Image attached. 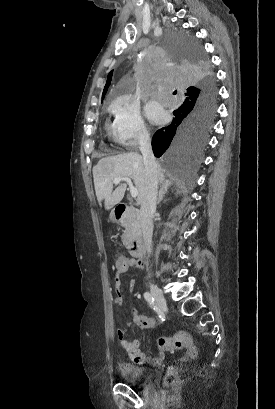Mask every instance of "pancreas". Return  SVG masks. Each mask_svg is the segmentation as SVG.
<instances>
[{
  "mask_svg": "<svg viewBox=\"0 0 275 409\" xmlns=\"http://www.w3.org/2000/svg\"><path fill=\"white\" fill-rule=\"evenodd\" d=\"M121 227H124V235H122V243L125 247H129L137 235L141 233V223L139 211H135L134 207H129L122 221Z\"/></svg>",
  "mask_w": 275,
  "mask_h": 409,
  "instance_id": "cf45deb5",
  "label": "pancreas"
}]
</instances>
